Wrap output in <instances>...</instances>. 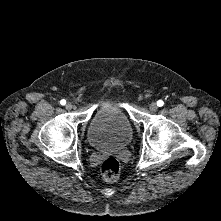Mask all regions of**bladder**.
I'll list each match as a JSON object with an SVG mask.
<instances>
[{
	"mask_svg": "<svg viewBox=\"0 0 221 221\" xmlns=\"http://www.w3.org/2000/svg\"><path fill=\"white\" fill-rule=\"evenodd\" d=\"M133 129L125 114L112 104H102L92 118L88 130V142L100 149H121L132 140Z\"/></svg>",
	"mask_w": 221,
	"mask_h": 221,
	"instance_id": "31cf9c89",
	"label": "bladder"
}]
</instances>
